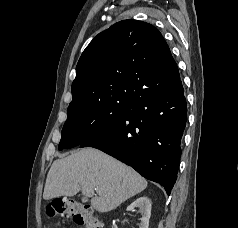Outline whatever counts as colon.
Returning <instances> with one entry per match:
<instances>
[{"label":"colon","instance_id":"5ec220e1","mask_svg":"<svg viewBox=\"0 0 238 228\" xmlns=\"http://www.w3.org/2000/svg\"><path fill=\"white\" fill-rule=\"evenodd\" d=\"M49 216L71 218L81 228H103L100 217L93 210L73 198H65L52 202L48 208ZM46 228H52L48 226Z\"/></svg>","mask_w":238,"mask_h":228}]
</instances>
